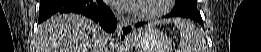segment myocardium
<instances>
[{"label": "myocardium", "instance_id": "myocardium-1", "mask_svg": "<svg viewBox=\"0 0 261 52\" xmlns=\"http://www.w3.org/2000/svg\"><path fill=\"white\" fill-rule=\"evenodd\" d=\"M172 0H161L160 6L156 9L147 10L142 5H137L135 8L130 9L132 13L144 20H156L166 15L170 10Z\"/></svg>", "mask_w": 261, "mask_h": 52}]
</instances>
